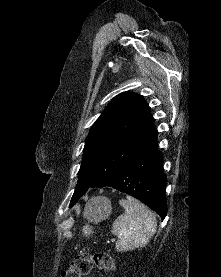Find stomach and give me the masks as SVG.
<instances>
[{
	"label": "stomach",
	"instance_id": "stomach-1",
	"mask_svg": "<svg viewBox=\"0 0 221 277\" xmlns=\"http://www.w3.org/2000/svg\"><path fill=\"white\" fill-rule=\"evenodd\" d=\"M111 211V205L106 199H95L88 205L85 210V216L92 222H99L106 218Z\"/></svg>",
	"mask_w": 221,
	"mask_h": 277
}]
</instances>
